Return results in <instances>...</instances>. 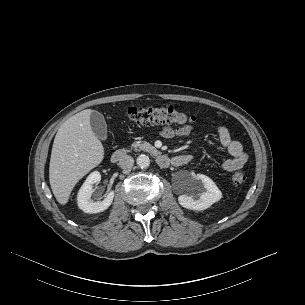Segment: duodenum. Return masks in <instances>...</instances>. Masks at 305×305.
I'll use <instances>...</instances> for the list:
<instances>
[{"label":"duodenum","instance_id":"1","mask_svg":"<svg viewBox=\"0 0 305 305\" xmlns=\"http://www.w3.org/2000/svg\"><path fill=\"white\" fill-rule=\"evenodd\" d=\"M150 152L154 156L157 164L160 167L166 168L171 164L172 160L168 156L162 154L159 150L151 149ZM126 154H127V151L125 149L115 150L111 155V161L113 163H117L120 160H122Z\"/></svg>","mask_w":305,"mask_h":305}]
</instances>
